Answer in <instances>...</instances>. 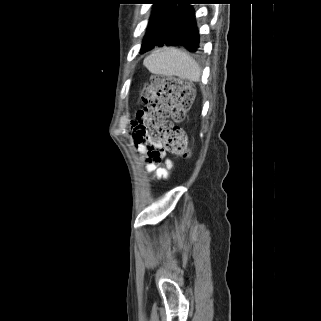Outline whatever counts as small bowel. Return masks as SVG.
Returning <instances> with one entry per match:
<instances>
[{"instance_id": "1", "label": "small bowel", "mask_w": 321, "mask_h": 321, "mask_svg": "<svg viewBox=\"0 0 321 321\" xmlns=\"http://www.w3.org/2000/svg\"><path fill=\"white\" fill-rule=\"evenodd\" d=\"M151 113L147 110L137 111L134 119L132 120V140L136 150L144 156L146 161V170L153 173L152 179H166L169 170L173 168V162L162 155L159 159L153 157V149L156 148L154 144L148 119ZM164 159L165 166L160 167L159 163Z\"/></svg>"}]
</instances>
